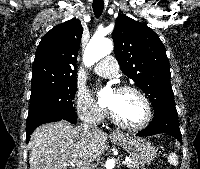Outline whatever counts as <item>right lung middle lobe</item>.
<instances>
[{"label": "right lung middle lobe", "instance_id": "dd1d6c3e", "mask_svg": "<svg viewBox=\"0 0 200 169\" xmlns=\"http://www.w3.org/2000/svg\"><path fill=\"white\" fill-rule=\"evenodd\" d=\"M76 80L60 84H43L32 88L28 116L40 113H69L75 111L73 97Z\"/></svg>", "mask_w": 200, "mask_h": 169}]
</instances>
